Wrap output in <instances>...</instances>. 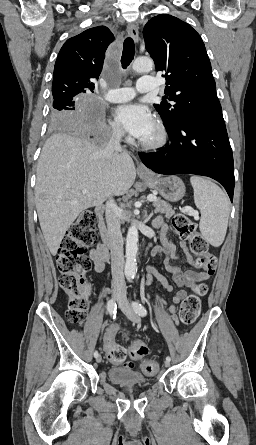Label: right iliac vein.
I'll return each instance as SVG.
<instances>
[{
	"mask_svg": "<svg viewBox=\"0 0 256 445\" xmlns=\"http://www.w3.org/2000/svg\"><path fill=\"white\" fill-rule=\"evenodd\" d=\"M120 298H121V294L119 292H117V291L113 292V295H112V300L113 301L119 302ZM96 360H97L98 363H100L102 361V357L99 355L96 358Z\"/></svg>",
	"mask_w": 256,
	"mask_h": 445,
	"instance_id": "obj_1",
	"label": "right iliac vein"
}]
</instances>
